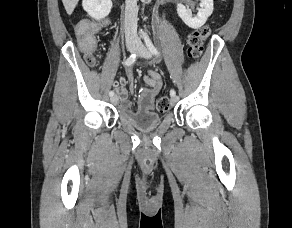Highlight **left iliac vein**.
<instances>
[{
	"instance_id": "1",
	"label": "left iliac vein",
	"mask_w": 292,
	"mask_h": 228,
	"mask_svg": "<svg viewBox=\"0 0 292 228\" xmlns=\"http://www.w3.org/2000/svg\"><path fill=\"white\" fill-rule=\"evenodd\" d=\"M138 54L140 57L146 58V59L151 57L150 52L141 41L138 42ZM170 102H171V105H175L178 102V97L176 96L171 97Z\"/></svg>"
}]
</instances>
